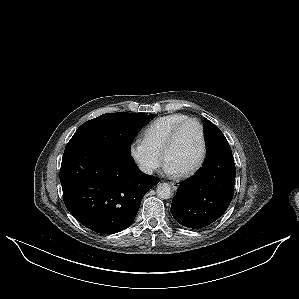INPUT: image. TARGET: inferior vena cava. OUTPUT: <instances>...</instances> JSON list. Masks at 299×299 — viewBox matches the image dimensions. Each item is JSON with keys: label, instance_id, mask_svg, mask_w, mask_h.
Instances as JSON below:
<instances>
[{"label": "inferior vena cava", "instance_id": "inferior-vena-cava-1", "mask_svg": "<svg viewBox=\"0 0 299 299\" xmlns=\"http://www.w3.org/2000/svg\"><path fill=\"white\" fill-rule=\"evenodd\" d=\"M140 170L144 173H147V174H151L152 173V169L147 167V166H144V165H141L140 166Z\"/></svg>", "mask_w": 299, "mask_h": 299}]
</instances>
